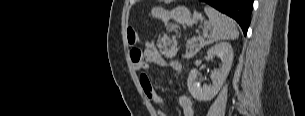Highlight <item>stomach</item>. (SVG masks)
I'll use <instances>...</instances> for the list:
<instances>
[{
  "label": "stomach",
  "mask_w": 305,
  "mask_h": 116,
  "mask_svg": "<svg viewBox=\"0 0 305 116\" xmlns=\"http://www.w3.org/2000/svg\"><path fill=\"white\" fill-rule=\"evenodd\" d=\"M151 14L153 17L166 22L172 19L178 24L188 26L196 24L202 18L199 13H194L192 15L189 9L184 6H178L171 11L165 10L161 7H154Z\"/></svg>",
  "instance_id": "obj_1"
}]
</instances>
